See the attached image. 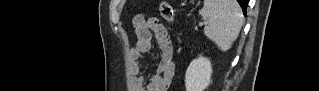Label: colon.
Wrapping results in <instances>:
<instances>
[{"label":"colon","mask_w":319,"mask_h":91,"mask_svg":"<svg viewBox=\"0 0 319 91\" xmlns=\"http://www.w3.org/2000/svg\"><path fill=\"white\" fill-rule=\"evenodd\" d=\"M160 14L163 19H165L168 23H172L174 19V8L173 6L166 2V1H161L160 6H159Z\"/></svg>","instance_id":"colon-1"}]
</instances>
